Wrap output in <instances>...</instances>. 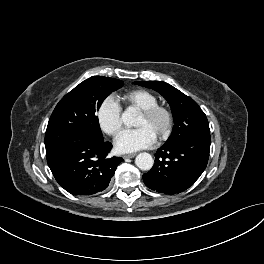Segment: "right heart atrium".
Masks as SVG:
<instances>
[{"label": "right heart atrium", "instance_id": "1", "mask_svg": "<svg viewBox=\"0 0 264 264\" xmlns=\"http://www.w3.org/2000/svg\"><path fill=\"white\" fill-rule=\"evenodd\" d=\"M96 119L103 132L116 136L122 127L121 106L117 100L111 96L103 99L98 106Z\"/></svg>", "mask_w": 264, "mask_h": 264}]
</instances>
